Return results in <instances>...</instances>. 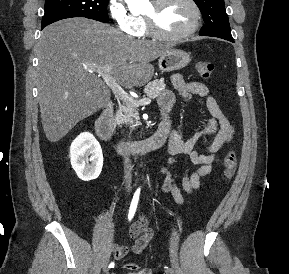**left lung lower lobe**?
Masks as SVG:
<instances>
[{
  "instance_id": "0a47b994",
  "label": "left lung lower lobe",
  "mask_w": 289,
  "mask_h": 274,
  "mask_svg": "<svg viewBox=\"0 0 289 274\" xmlns=\"http://www.w3.org/2000/svg\"><path fill=\"white\" fill-rule=\"evenodd\" d=\"M225 40H228V41L234 42L233 38H232V39H225Z\"/></svg>"
}]
</instances>
